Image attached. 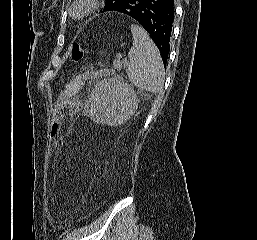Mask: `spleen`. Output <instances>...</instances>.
<instances>
[{
  "label": "spleen",
  "instance_id": "obj_1",
  "mask_svg": "<svg viewBox=\"0 0 257 240\" xmlns=\"http://www.w3.org/2000/svg\"><path fill=\"white\" fill-rule=\"evenodd\" d=\"M133 45L128 52L129 81L135 87L152 93L163 90L165 72L160 53L148 33L138 25H131Z\"/></svg>",
  "mask_w": 257,
  "mask_h": 240
}]
</instances>
